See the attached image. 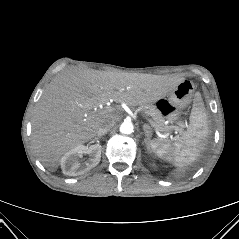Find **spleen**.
Wrapping results in <instances>:
<instances>
[{
    "label": "spleen",
    "mask_w": 239,
    "mask_h": 239,
    "mask_svg": "<svg viewBox=\"0 0 239 239\" xmlns=\"http://www.w3.org/2000/svg\"><path fill=\"white\" fill-rule=\"evenodd\" d=\"M208 135L207 114L201 98L194 99L187 129L174 139L172 143L167 139H154L150 141L151 150L161 159L183 168L193 163L204 147Z\"/></svg>",
    "instance_id": "spleen-1"
}]
</instances>
